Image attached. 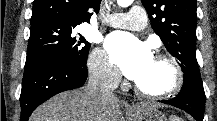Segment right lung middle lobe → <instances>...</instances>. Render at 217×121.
Masks as SVG:
<instances>
[{
  "mask_svg": "<svg viewBox=\"0 0 217 121\" xmlns=\"http://www.w3.org/2000/svg\"><path fill=\"white\" fill-rule=\"evenodd\" d=\"M76 24L52 20L31 24L25 65L40 61H67L85 66L90 48Z\"/></svg>",
  "mask_w": 217,
  "mask_h": 121,
  "instance_id": "dd1d6c3e",
  "label": "right lung middle lobe"
}]
</instances>
